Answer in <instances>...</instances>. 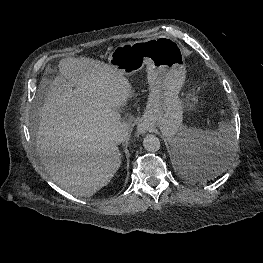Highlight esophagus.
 <instances>
[{"label":"esophagus","instance_id":"34e87169","mask_svg":"<svg viewBox=\"0 0 263 263\" xmlns=\"http://www.w3.org/2000/svg\"><path fill=\"white\" fill-rule=\"evenodd\" d=\"M138 131H139L140 133H144V132L146 131V128L143 127V126H139V127H138Z\"/></svg>","mask_w":263,"mask_h":263}]
</instances>
